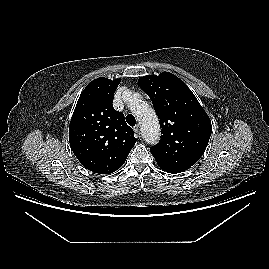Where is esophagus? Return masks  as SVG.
Segmentation results:
<instances>
[{"label": "esophagus", "mask_w": 269, "mask_h": 269, "mask_svg": "<svg viewBox=\"0 0 269 269\" xmlns=\"http://www.w3.org/2000/svg\"><path fill=\"white\" fill-rule=\"evenodd\" d=\"M134 131H135L138 135L141 134V127H140L139 124H137V125L134 127Z\"/></svg>", "instance_id": "1"}]
</instances>
